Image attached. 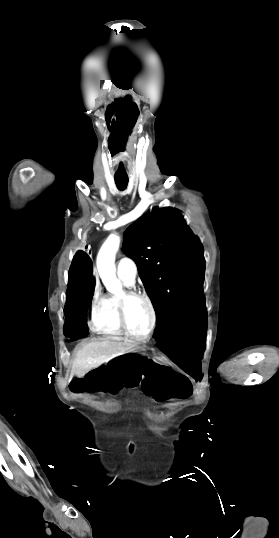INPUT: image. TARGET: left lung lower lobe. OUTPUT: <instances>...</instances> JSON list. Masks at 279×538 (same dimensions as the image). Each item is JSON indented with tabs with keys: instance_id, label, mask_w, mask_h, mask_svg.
<instances>
[{
	"instance_id": "1",
	"label": "left lung lower lobe",
	"mask_w": 279,
	"mask_h": 538,
	"mask_svg": "<svg viewBox=\"0 0 279 538\" xmlns=\"http://www.w3.org/2000/svg\"><path fill=\"white\" fill-rule=\"evenodd\" d=\"M207 330L206 312L173 335L154 336L159 347L174 363L188 374L199 379L201 356Z\"/></svg>"
}]
</instances>
